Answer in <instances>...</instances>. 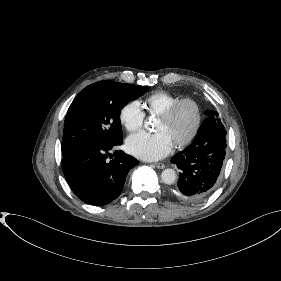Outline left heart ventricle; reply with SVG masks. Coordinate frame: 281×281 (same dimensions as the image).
<instances>
[{"label":"left heart ventricle","instance_id":"1","mask_svg":"<svg viewBox=\"0 0 281 281\" xmlns=\"http://www.w3.org/2000/svg\"><path fill=\"white\" fill-rule=\"evenodd\" d=\"M195 121L194 109L191 105L181 106L168 120L157 118L155 131L163 132L172 145L178 143L191 132Z\"/></svg>","mask_w":281,"mask_h":281}]
</instances>
